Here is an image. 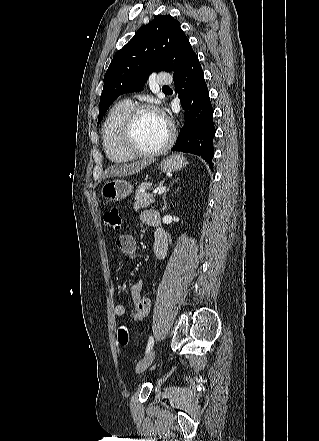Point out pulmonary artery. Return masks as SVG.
<instances>
[{"label": "pulmonary artery", "mask_w": 319, "mask_h": 441, "mask_svg": "<svg viewBox=\"0 0 319 441\" xmlns=\"http://www.w3.org/2000/svg\"><path fill=\"white\" fill-rule=\"evenodd\" d=\"M156 82L160 86H168L172 83V77L168 73H161L157 76Z\"/></svg>", "instance_id": "e3ab8cb5"}]
</instances>
